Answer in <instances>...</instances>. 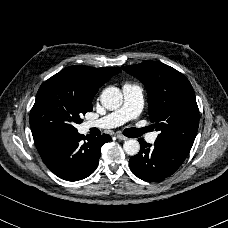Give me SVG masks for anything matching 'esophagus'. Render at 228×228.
Returning <instances> with one entry per match:
<instances>
[{
    "instance_id": "34e87169",
    "label": "esophagus",
    "mask_w": 228,
    "mask_h": 228,
    "mask_svg": "<svg viewBox=\"0 0 228 228\" xmlns=\"http://www.w3.org/2000/svg\"><path fill=\"white\" fill-rule=\"evenodd\" d=\"M117 138H118L119 140H122V141H125V140L128 139L126 136H124V135H122V134H117Z\"/></svg>"
}]
</instances>
